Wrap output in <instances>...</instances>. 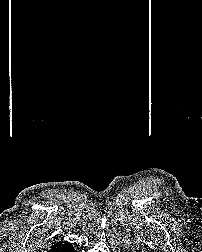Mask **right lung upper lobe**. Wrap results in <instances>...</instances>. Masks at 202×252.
Instances as JSON below:
<instances>
[{
    "mask_svg": "<svg viewBox=\"0 0 202 252\" xmlns=\"http://www.w3.org/2000/svg\"><path fill=\"white\" fill-rule=\"evenodd\" d=\"M71 245L70 243H65L63 241L56 243L51 247L49 252H62L61 250L67 246Z\"/></svg>",
    "mask_w": 202,
    "mask_h": 252,
    "instance_id": "right-lung-upper-lobe-1",
    "label": "right lung upper lobe"
}]
</instances>
